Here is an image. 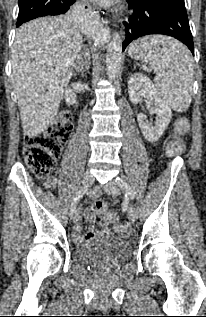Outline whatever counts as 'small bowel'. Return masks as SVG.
<instances>
[{
	"label": "small bowel",
	"mask_w": 206,
	"mask_h": 317,
	"mask_svg": "<svg viewBox=\"0 0 206 317\" xmlns=\"http://www.w3.org/2000/svg\"><path fill=\"white\" fill-rule=\"evenodd\" d=\"M56 184V180L54 178H50L47 180L46 182V185L51 187V186H55ZM98 195V192L97 191H94L92 193V196H96ZM84 216L86 217V219H88L89 221L92 220V215L91 213L86 210L84 212ZM111 228L108 224H105L104 227H103V230L102 232H97L95 230H93L91 227L87 230L86 233H82V226H81V223L78 222L74 229H73V236L74 238L77 240V241H81V240H89V239H92V238H95L96 236H98L99 234L103 233V234H110L111 233Z\"/></svg>",
	"instance_id": "1"
}]
</instances>
